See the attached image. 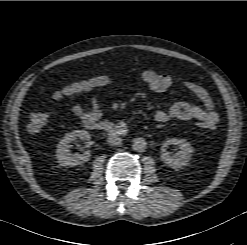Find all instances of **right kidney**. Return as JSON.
I'll list each match as a JSON object with an SVG mask.
<instances>
[{
  "instance_id": "obj_1",
  "label": "right kidney",
  "mask_w": 247,
  "mask_h": 245,
  "mask_svg": "<svg viewBox=\"0 0 247 245\" xmlns=\"http://www.w3.org/2000/svg\"><path fill=\"white\" fill-rule=\"evenodd\" d=\"M89 140L90 134L86 130H75L67 133L57 145L56 158L61 166H76L87 162L90 159V151H85L83 154H71L68 146L69 143L76 140Z\"/></svg>"
}]
</instances>
